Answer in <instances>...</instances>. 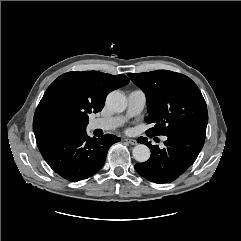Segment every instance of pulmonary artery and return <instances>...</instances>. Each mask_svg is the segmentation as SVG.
Segmentation results:
<instances>
[{"label":"pulmonary artery","instance_id":"pulmonary-artery-1","mask_svg":"<svg viewBox=\"0 0 241 241\" xmlns=\"http://www.w3.org/2000/svg\"><path fill=\"white\" fill-rule=\"evenodd\" d=\"M127 111L125 115L93 119L89 123L91 130H113L122 125L128 118L138 115L146 103V95L142 90H132L128 94Z\"/></svg>","mask_w":241,"mask_h":241}]
</instances>
